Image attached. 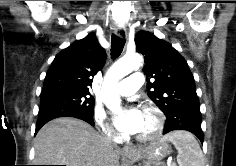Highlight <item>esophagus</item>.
I'll return each mask as SVG.
<instances>
[{
    "label": "esophagus",
    "instance_id": "34e87169",
    "mask_svg": "<svg viewBox=\"0 0 236 166\" xmlns=\"http://www.w3.org/2000/svg\"><path fill=\"white\" fill-rule=\"evenodd\" d=\"M115 33L118 37L126 40L127 39V31L124 27H118L115 29ZM123 151L126 152V153H131V152H135L136 149L131 146V145H126L124 146L123 148Z\"/></svg>",
    "mask_w": 236,
    "mask_h": 166
}]
</instances>
